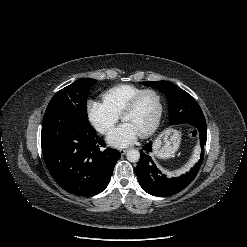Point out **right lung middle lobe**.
<instances>
[{"instance_id": "obj_1", "label": "right lung middle lobe", "mask_w": 247, "mask_h": 247, "mask_svg": "<svg viewBox=\"0 0 247 247\" xmlns=\"http://www.w3.org/2000/svg\"><path fill=\"white\" fill-rule=\"evenodd\" d=\"M95 79L82 78L58 91L50 100L46 112L64 110L87 118V96Z\"/></svg>"}]
</instances>
